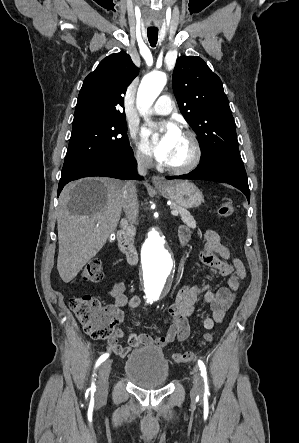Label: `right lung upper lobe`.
Returning <instances> with one entry per match:
<instances>
[{
	"label": "right lung upper lobe",
	"mask_w": 299,
	"mask_h": 443,
	"mask_svg": "<svg viewBox=\"0 0 299 443\" xmlns=\"http://www.w3.org/2000/svg\"><path fill=\"white\" fill-rule=\"evenodd\" d=\"M138 75V68L124 52L104 58L84 80L73 124L106 118H124L122 94Z\"/></svg>",
	"instance_id": "1"
}]
</instances>
